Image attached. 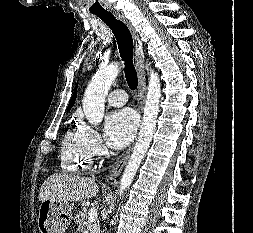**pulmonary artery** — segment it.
I'll use <instances>...</instances> for the list:
<instances>
[{
    "label": "pulmonary artery",
    "instance_id": "e3ab8cb5",
    "mask_svg": "<svg viewBox=\"0 0 253 233\" xmlns=\"http://www.w3.org/2000/svg\"><path fill=\"white\" fill-rule=\"evenodd\" d=\"M128 96L123 90H114L107 97V102L113 107H120L127 103Z\"/></svg>",
    "mask_w": 253,
    "mask_h": 233
}]
</instances>
